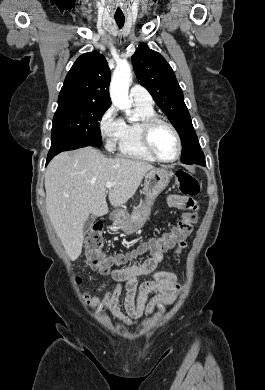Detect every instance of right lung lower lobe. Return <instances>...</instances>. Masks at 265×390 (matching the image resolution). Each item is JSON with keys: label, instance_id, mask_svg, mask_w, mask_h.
<instances>
[{"label": "right lung lower lobe", "instance_id": "obj_1", "mask_svg": "<svg viewBox=\"0 0 265 390\" xmlns=\"http://www.w3.org/2000/svg\"><path fill=\"white\" fill-rule=\"evenodd\" d=\"M88 145L86 144H76L72 142H57L51 144V149L47 156L46 165L49 163V161L58 153L65 151V150H72V149H78L82 147H86Z\"/></svg>", "mask_w": 265, "mask_h": 390}]
</instances>
